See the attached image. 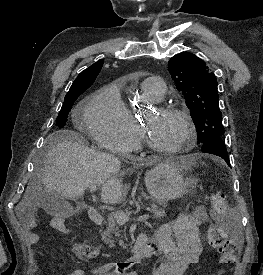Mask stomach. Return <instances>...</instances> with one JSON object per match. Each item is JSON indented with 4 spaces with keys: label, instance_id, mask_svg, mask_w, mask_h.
<instances>
[{
    "label": "stomach",
    "instance_id": "stomach-1",
    "mask_svg": "<svg viewBox=\"0 0 263 275\" xmlns=\"http://www.w3.org/2000/svg\"><path fill=\"white\" fill-rule=\"evenodd\" d=\"M184 168L186 166L165 162L155 164L147 171L145 183L151 197L163 203L181 198L187 191Z\"/></svg>",
    "mask_w": 263,
    "mask_h": 275
}]
</instances>
